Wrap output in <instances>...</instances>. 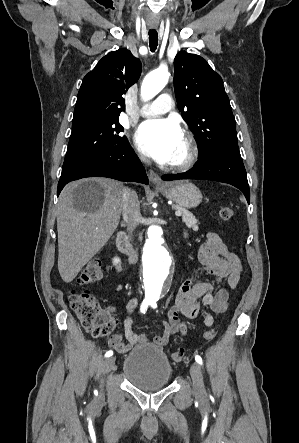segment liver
Returning <instances> with one entry per match:
<instances>
[{
	"mask_svg": "<svg viewBox=\"0 0 299 443\" xmlns=\"http://www.w3.org/2000/svg\"><path fill=\"white\" fill-rule=\"evenodd\" d=\"M121 182L89 178L71 182L57 204L58 270L70 283L107 243L122 212Z\"/></svg>",
	"mask_w": 299,
	"mask_h": 443,
	"instance_id": "1",
	"label": "liver"
}]
</instances>
